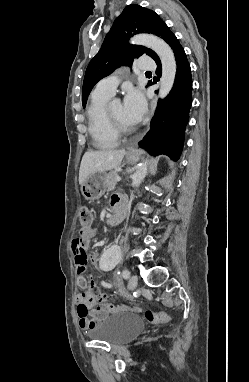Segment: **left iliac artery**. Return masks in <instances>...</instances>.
<instances>
[{
    "label": "left iliac artery",
    "mask_w": 249,
    "mask_h": 382,
    "mask_svg": "<svg viewBox=\"0 0 249 382\" xmlns=\"http://www.w3.org/2000/svg\"><path fill=\"white\" fill-rule=\"evenodd\" d=\"M122 276H123V278H125V279H127V278H129V276H130V272L126 269V270H123V272H122Z\"/></svg>",
    "instance_id": "44dca946"
}]
</instances>
